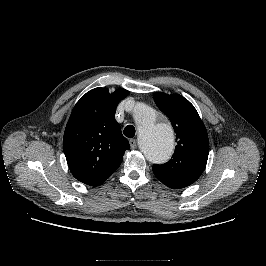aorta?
I'll list each match as a JSON object with an SVG mask.
<instances>
[{"instance_id": "1", "label": "aorta", "mask_w": 266, "mask_h": 266, "mask_svg": "<svg viewBox=\"0 0 266 266\" xmlns=\"http://www.w3.org/2000/svg\"><path fill=\"white\" fill-rule=\"evenodd\" d=\"M134 119L139 130V144L146 158L153 163L167 161L174 148L172 127L161 121L151 107L138 103L134 109Z\"/></svg>"}]
</instances>
